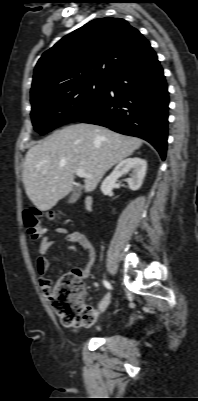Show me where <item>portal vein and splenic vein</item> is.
I'll list each match as a JSON object with an SVG mask.
<instances>
[{
    "label": "portal vein and splenic vein",
    "mask_w": 198,
    "mask_h": 401,
    "mask_svg": "<svg viewBox=\"0 0 198 401\" xmlns=\"http://www.w3.org/2000/svg\"><path fill=\"white\" fill-rule=\"evenodd\" d=\"M74 173L81 178H90L91 176L88 175L84 170L82 169H76L74 170Z\"/></svg>",
    "instance_id": "18ae733b"
}]
</instances>
